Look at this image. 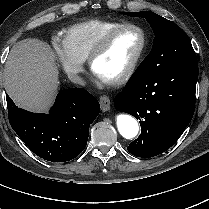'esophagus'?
I'll list each match as a JSON object with an SVG mask.
<instances>
[{
	"instance_id": "1",
	"label": "esophagus",
	"mask_w": 209,
	"mask_h": 209,
	"mask_svg": "<svg viewBox=\"0 0 209 209\" xmlns=\"http://www.w3.org/2000/svg\"><path fill=\"white\" fill-rule=\"evenodd\" d=\"M99 103L103 112H106L110 109V99L108 96H101L99 99Z\"/></svg>"
}]
</instances>
